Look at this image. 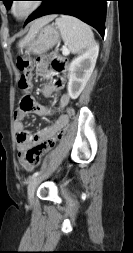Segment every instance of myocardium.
Segmentation results:
<instances>
[{
    "label": "myocardium",
    "instance_id": "1",
    "mask_svg": "<svg viewBox=\"0 0 133 253\" xmlns=\"http://www.w3.org/2000/svg\"><path fill=\"white\" fill-rule=\"evenodd\" d=\"M18 2V0H15L11 3L10 5V11H11V14L12 16L18 20V21H22V20H25L27 18H29L32 14H34L41 6V2L39 0H32L30 1L31 2V5L29 7V9L22 15H19L16 13V3Z\"/></svg>",
    "mask_w": 133,
    "mask_h": 253
}]
</instances>
